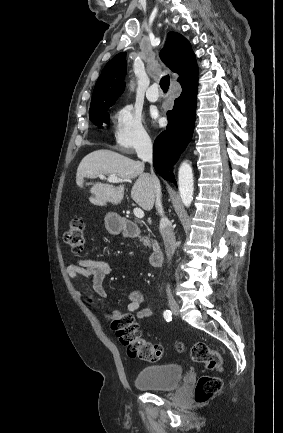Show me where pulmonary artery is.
<instances>
[{
  "instance_id": "obj_1",
  "label": "pulmonary artery",
  "mask_w": 283,
  "mask_h": 433,
  "mask_svg": "<svg viewBox=\"0 0 283 433\" xmlns=\"http://www.w3.org/2000/svg\"><path fill=\"white\" fill-rule=\"evenodd\" d=\"M146 97L151 102H156L161 98V96L158 94L157 88H155V85H150V88L147 90Z\"/></svg>"
}]
</instances>
